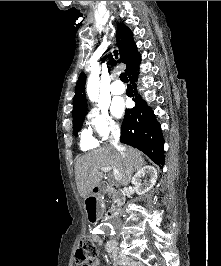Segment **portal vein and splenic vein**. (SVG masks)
I'll use <instances>...</instances> for the list:
<instances>
[{"mask_svg":"<svg viewBox=\"0 0 221 266\" xmlns=\"http://www.w3.org/2000/svg\"><path fill=\"white\" fill-rule=\"evenodd\" d=\"M101 171H103V172L113 171L114 179L116 181H120V179H121V174L119 173V171L115 167H101Z\"/></svg>","mask_w":221,"mask_h":266,"instance_id":"18ae733b","label":"portal vein and splenic vein"}]
</instances>
